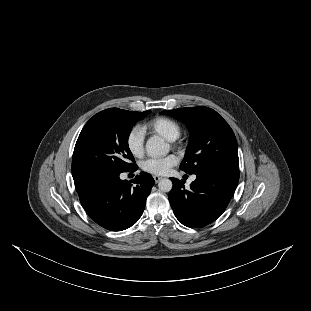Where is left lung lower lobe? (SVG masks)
I'll return each mask as SVG.
<instances>
[{"label":"left lung lower lobe","mask_w":311,"mask_h":311,"mask_svg":"<svg viewBox=\"0 0 311 311\" xmlns=\"http://www.w3.org/2000/svg\"><path fill=\"white\" fill-rule=\"evenodd\" d=\"M195 175L188 190L182 180L171 178L169 201L183 225L200 228L215 221L226 209L238 184L239 167H216Z\"/></svg>","instance_id":"1"}]
</instances>
